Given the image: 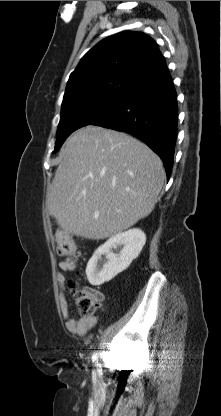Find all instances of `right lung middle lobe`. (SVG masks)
I'll list each match as a JSON object with an SVG mask.
<instances>
[{"mask_svg":"<svg viewBox=\"0 0 221 416\" xmlns=\"http://www.w3.org/2000/svg\"><path fill=\"white\" fill-rule=\"evenodd\" d=\"M130 92L125 88L102 89L62 103L54 152L75 130L107 117Z\"/></svg>","mask_w":221,"mask_h":416,"instance_id":"dd1d6c3e","label":"right lung middle lobe"}]
</instances>
